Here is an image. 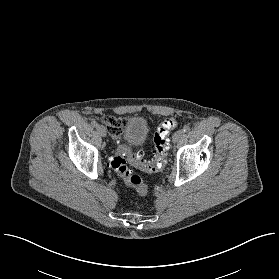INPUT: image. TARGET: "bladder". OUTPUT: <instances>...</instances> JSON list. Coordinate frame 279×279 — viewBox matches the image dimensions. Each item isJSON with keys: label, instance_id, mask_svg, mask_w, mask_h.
Listing matches in <instances>:
<instances>
[{"label": "bladder", "instance_id": "obj_1", "mask_svg": "<svg viewBox=\"0 0 279 279\" xmlns=\"http://www.w3.org/2000/svg\"><path fill=\"white\" fill-rule=\"evenodd\" d=\"M148 131V123L144 117L132 116L127 120L122 141L126 145L140 146L146 141Z\"/></svg>", "mask_w": 279, "mask_h": 279}]
</instances>
